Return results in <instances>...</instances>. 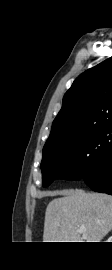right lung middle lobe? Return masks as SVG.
Wrapping results in <instances>:
<instances>
[{"mask_svg":"<svg viewBox=\"0 0 112 270\" xmlns=\"http://www.w3.org/2000/svg\"><path fill=\"white\" fill-rule=\"evenodd\" d=\"M111 146L112 124H109L60 145L43 149V186H49L57 178L83 179L89 172L98 168Z\"/></svg>","mask_w":112,"mask_h":270,"instance_id":"dd1d6c3e","label":"right lung middle lobe"}]
</instances>
